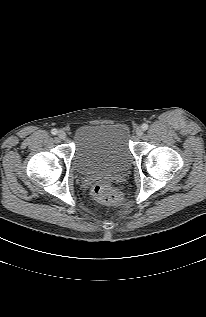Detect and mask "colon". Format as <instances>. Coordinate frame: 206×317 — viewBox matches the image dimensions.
<instances>
[{
	"instance_id": "1",
	"label": "colon",
	"mask_w": 206,
	"mask_h": 317,
	"mask_svg": "<svg viewBox=\"0 0 206 317\" xmlns=\"http://www.w3.org/2000/svg\"><path fill=\"white\" fill-rule=\"evenodd\" d=\"M91 193L95 200L103 204H115L121 199L120 194L106 181L95 183Z\"/></svg>"
}]
</instances>
